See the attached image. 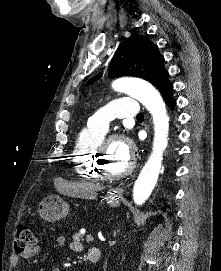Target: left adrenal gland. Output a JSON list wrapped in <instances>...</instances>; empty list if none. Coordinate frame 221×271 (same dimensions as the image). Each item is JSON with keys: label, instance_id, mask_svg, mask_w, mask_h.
Listing matches in <instances>:
<instances>
[{"label": "left adrenal gland", "instance_id": "1", "mask_svg": "<svg viewBox=\"0 0 221 271\" xmlns=\"http://www.w3.org/2000/svg\"><path fill=\"white\" fill-rule=\"evenodd\" d=\"M117 231H120V229H117ZM117 231H114V235H116Z\"/></svg>", "mask_w": 221, "mask_h": 271}]
</instances>
